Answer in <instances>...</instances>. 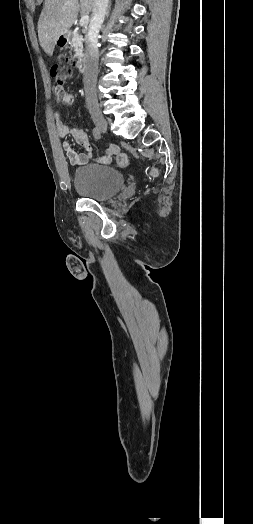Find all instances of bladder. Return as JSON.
<instances>
[{
	"mask_svg": "<svg viewBox=\"0 0 253 524\" xmlns=\"http://www.w3.org/2000/svg\"><path fill=\"white\" fill-rule=\"evenodd\" d=\"M122 172L108 166L87 165L73 174L75 190L85 199L105 202L116 196L125 186Z\"/></svg>",
	"mask_w": 253,
	"mask_h": 524,
	"instance_id": "obj_1",
	"label": "bladder"
}]
</instances>
